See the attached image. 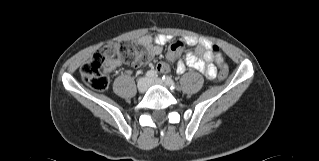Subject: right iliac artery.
I'll list each match as a JSON object with an SVG mask.
<instances>
[{
    "mask_svg": "<svg viewBox=\"0 0 319 161\" xmlns=\"http://www.w3.org/2000/svg\"><path fill=\"white\" fill-rule=\"evenodd\" d=\"M145 76L148 79H155L157 77V72L154 71V70H149V71L146 72Z\"/></svg>",
    "mask_w": 319,
    "mask_h": 161,
    "instance_id": "82829eb1",
    "label": "right iliac artery"
}]
</instances>
